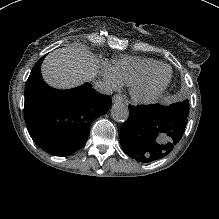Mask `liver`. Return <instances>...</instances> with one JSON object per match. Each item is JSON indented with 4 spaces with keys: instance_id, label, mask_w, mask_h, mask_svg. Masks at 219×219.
<instances>
[{
    "instance_id": "1",
    "label": "liver",
    "mask_w": 219,
    "mask_h": 219,
    "mask_svg": "<svg viewBox=\"0 0 219 219\" xmlns=\"http://www.w3.org/2000/svg\"><path fill=\"white\" fill-rule=\"evenodd\" d=\"M96 58L80 48H62L49 54L41 67L44 80L59 89H69L94 80Z\"/></svg>"
}]
</instances>
